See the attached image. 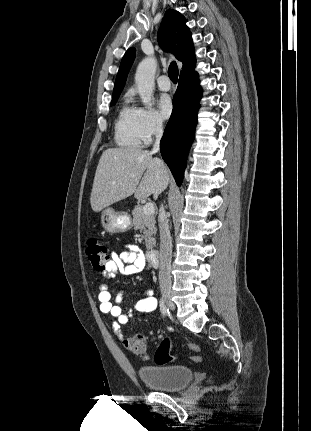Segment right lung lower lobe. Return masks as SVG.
<instances>
[{
    "label": "right lung lower lobe",
    "instance_id": "1",
    "mask_svg": "<svg viewBox=\"0 0 311 431\" xmlns=\"http://www.w3.org/2000/svg\"><path fill=\"white\" fill-rule=\"evenodd\" d=\"M202 89L193 69L180 76L173 98V111L160 142L161 155L175 181L181 184L186 157L194 138Z\"/></svg>",
    "mask_w": 311,
    "mask_h": 431
}]
</instances>
